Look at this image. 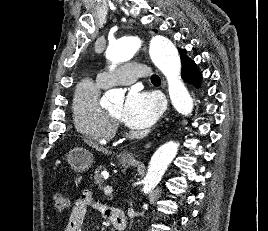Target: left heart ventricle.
Segmentation results:
<instances>
[{
	"label": "left heart ventricle",
	"instance_id": "left-heart-ventricle-1",
	"mask_svg": "<svg viewBox=\"0 0 268 231\" xmlns=\"http://www.w3.org/2000/svg\"><path fill=\"white\" fill-rule=\"evenodd\" d=\"M122 110H123V102L115 103L109 108V112L119 118L122 116Z\"/></svg>",
	"mask_w": 268,
	"mask_h": 231
}]
</instances>
